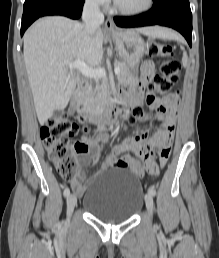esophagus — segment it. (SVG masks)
Wrapping results in <instances>:
<instances>
[{
    "mask_svg": "<svg viewBox=\"0 0 219 258\" xmlns=\"http://www.w3.org/2000/svg\"><path fill=\"white\" fill-rule=\"evenodd\" d=\"M105 29L106 31H108L109 33H116L119 30L117 29V27L115 26L113 19L111 17L107 18L106 22H105Z\"/></svg>",
    "mask_w": 219,
    "mask_h": 258,
    "instance_id": "1",
    "label": "esophagus"
}]
</instances>
